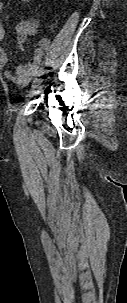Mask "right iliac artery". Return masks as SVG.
Here are the masks:
<instances>
[{"label":"right iliac artery","mask_w":127,"mask_h":303,"mask_svg":"<svg viewBox=\"0 0 127 303\" xmlns=\"http://www.w3.org/2000/svg\"><path fill=\"white\" fill-rule=\"evenodd\" d=\"M45 72V69H44V67H41L37 72H36V76H40V75H42L43 73Z\"/></svg>","instance_id":"obj_1"}]
</instances>
